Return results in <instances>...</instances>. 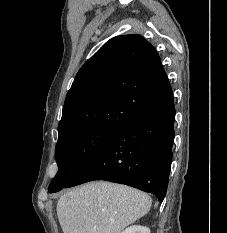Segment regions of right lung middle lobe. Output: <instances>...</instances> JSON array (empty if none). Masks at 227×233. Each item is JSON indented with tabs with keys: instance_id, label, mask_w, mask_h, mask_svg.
I'll return each mask as SVG.
<instances>
[{
	"instance_id": "obj_1",
	"label": "right lung middle lobe",
	"mask_w": 227,
	"mask_h": 233,
	"mask_svg": "<svg viewBox=\"0 0 227 233\" xmlns=\"http://www.w3.org/2000/svg\"><path fill=\"white\" fill-rule=\"evenodd\" d=\"M116 132L104 127H84L59 134L55 149L58 172L48 192H57L68 185Z\"/></svg>"
}]
</instances>
